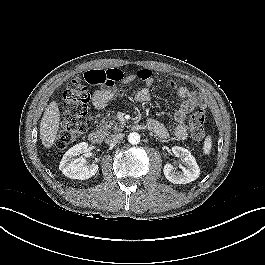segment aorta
Masks as SVG:
<instances>
[{
  "instance_id": "1",
  "label": "aorta",
  "mask_w": 265,
  "mask_h": 265,
  "mask_svg": "<svg viewBox=\"0 0 265 265\" xmlns=\"http://www.w3.org/2000/svg\"><path fill=\"white\" fill-rule=\"evenodd\" d=\"M128 141L132 145H137L140 142V135L137 132H132L128 135Z\"/></svg>"
}]
</instances>
